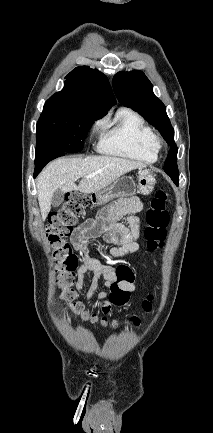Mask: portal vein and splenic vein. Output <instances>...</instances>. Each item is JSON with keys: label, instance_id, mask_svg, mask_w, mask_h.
Masks as SVG:
<instances>
[{"label": "portal vein and splenic vein", "instance_id": "obj_1", "mask_svg": "<svg viewBox=\"0 0 213 433\" xmlns=\"http://www.w3.org/2000/svg\"><path fill=\"white\" fill-rule=\"evenodd\" d=\"M94 175H88L86 176V178H92Z\"/></svg>", "mask_w": 213, "mask_h": 433}]
</instances>
